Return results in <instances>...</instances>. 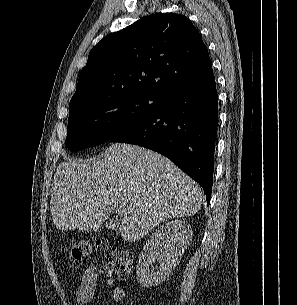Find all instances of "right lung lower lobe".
Here are the masks:
<instances>
[{
    "label": "right lung lower lobe",
    "mask_w": 297,
    "mask_h": 305,
    "mask_svg": "<svg viewBox=\"0 0 297 305\" xmlns=\"http://www.w3.org/2000/svg\"><path fill=\"white\" fill-rule=\"evenodd\" d=\"M218 125L215 77L164 92L148 116L113 136V142L136 144L173 161L204 189L210 202Z\"/></svg>",
    "instance_id": "1"
}]
</instances>
